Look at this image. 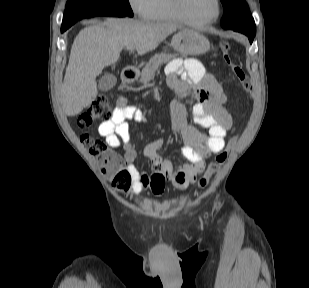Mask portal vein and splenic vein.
Segmentation results:
<instances>
[{"mask_svg": "<svg viewBox=\"0 0 309 288\" xmlns=\"http://www.w3.org/2000/svg\"><path fill=\"white\" fill-rule=\"evenodd\" d=\"M127 50H129V51H133V50H134V47H132V46H128V47H127Z\"/></svg>", "mask_w": 309, "mask_h": 288, "instance_id": "obj_1", "label": "portal vein and splenic vein"}]
</instances>
